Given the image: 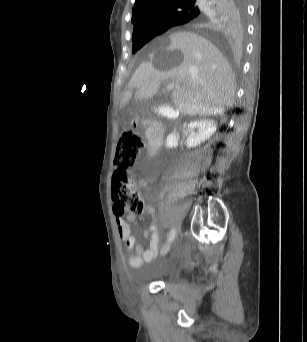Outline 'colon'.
Returning a JSON list of instances; mask_svg holds the SVG:
<instances>
[{
	"instance_id": "colon-1",
	"label": "colon",
	"mask_w": 307,
	"mask_h": 342,
	"mask_svg": "<svg viewBox=\"0 0 307 342\" xmlns=\"http://www.w3.org/2000/svg\"><path fill=\"white\" fill-rule=\"evenodd\" d=\"M144 137L136 130H126L119 138L115 157V180L112 191L114 204L121 214L128 213L130 220L140 217L144 211V201L134 190V182L129 176L136 166L143 147Z\"/></svg>"
}]
</instances>
